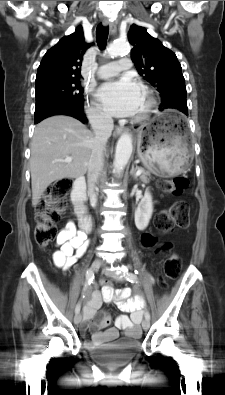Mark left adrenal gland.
<instances>
[{"instance_id": "obj_1", "label": "left adrenal gland", "mask_w": 225, "mask_h": 395, "mask_svg": "<svg viewBox=\"0 0 225 395\" xmlns=\"http://www.w3.org/2000/svg\"><path fill=\"white\" fill-rule=\"evenodd\" d=\"M130 174L133 176V178L135 180H137L136 169H135L134 164H132V168H131Z\"/></svg>"}]
</instances>
